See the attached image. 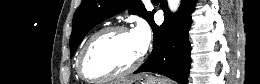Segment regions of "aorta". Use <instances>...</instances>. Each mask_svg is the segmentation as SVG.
<instances>
[{"label":"aorta","instance_id":"obj_1","mask_svg":"<svg viewBox=\"0 0 260 84\" xmlns=\"http://www.w3.org/2000/svg\"><path fill=\"white\" fill-rule=\"evenodd\" d=\"M180 5V0H168V6L172 12H175Z\"/></svg>","mask_w":260,"mask_h":84}]
</instances>
